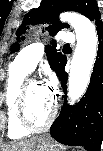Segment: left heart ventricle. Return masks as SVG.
<instances>
[{"instance_id": "b2bd125f", "label": "left heart ventricle", "mask_w": 103, "mask_h": 151, "mask_svg": "<svg viewBox=\"0 0 103 151\" xmlns=\"http://www.w3.org/2000/svg\"><path fill=\"white\" fill-rule=\"evenodd\" d=\"M53 98L43 86L32 82L28 88V116L35 125L44 124L51 112Z\"/></svg>"}]
</instances>
